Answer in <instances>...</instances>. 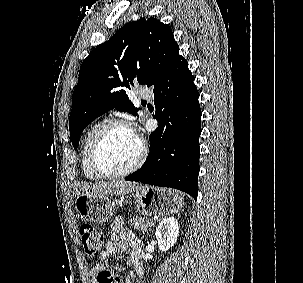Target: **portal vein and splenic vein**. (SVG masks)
I'll return each instance as SVG.
<instances>
[{"label": "portal vein and splenic vein", "instance_id": "1", "mask_svg": "<svg viewBox=\"0 0 303 283\" xmlns=\"http://www.w3.org/2000/svg\"><path fill=\"white\" fill-rule=\"evenodd\" d=\"M152 225V223H149V226H151Z\"/></svg>", "mask_w": 303, "mask_h": 283}]
</instances>
